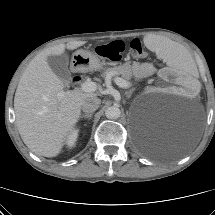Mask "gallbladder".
<instances>
[{
  "label": "gallbladder",
  "instance_id": "1",
  "mask_svg": "<svg viewBox=\"0 0 215 215\" xmlns=\"http://www.w3.org/2000/svg\"><path fill=\"white\" fill-rule=\"evenodd\" d=\"M47 62L51 70L64 82L69 83L71 74L68 69V55L63 53L61 55H50L47 57Z\"/></svg>",
  "mask_w": 215,
  "mask_h": 215
}]
</instances>
